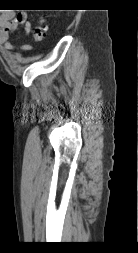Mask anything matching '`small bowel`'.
<instances>
[{
  "mask_svg": "<svg viewBox=\"0 0 138 253\" xmlns=\"http://www.w3.org/2000/svg\"><path fill=\"white\" fill-rule=\"evenodd\" d=\"M20 27H23L26 34H29L31 31V23L26 13L20 12L15 14L13 11H3L0 14V43L4 44L10 50L16 48L25 51L31 50L32 47L28 44L14 46L10 42L11 34Z\"/></svg>",
  "mask_w": 138,
  "mask_h": 253,
  "instance_id": "obj_1",
  "label": "small bowel"
}]
</instances>
